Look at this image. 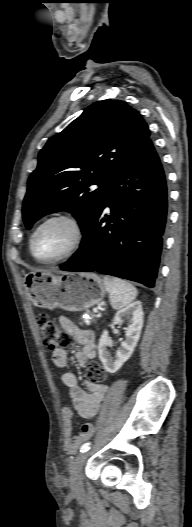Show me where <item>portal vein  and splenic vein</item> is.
Masks as SVG:
<instances>
[{"label":"portal vein and splenic vein","mask_w":192,"mask_h":527,"mask_svg":"<svg viewBox=\"0 0 192 527\" xmlns=\"http://www.w3.org/2000/svg\"><path fill=\"white\" fill-rule=\"evenodd\" d=\"M93 312H94V313H97V312H98V309H97V308H94V309H93Z\"/></svg>","instance_id":"1"}]
</instances>
